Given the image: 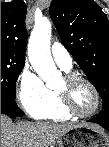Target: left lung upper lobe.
Listing matches in <instances>:
<instances>
[{"label": "left lung upper lobe", "mask_w": 109, "mask_h": 147, "mask_svg": "<svg viewBox=\"0 0 109 147\" xmlns=\"http://www.w3.org/2000/svg\"><path fill=\"white\" fill-rule=\"evenodd\" d=\"M49 14L65 48L109 108V20L93 0H53Z\"/></svg>", "instance_id": "obj_1"}]
</instances>
